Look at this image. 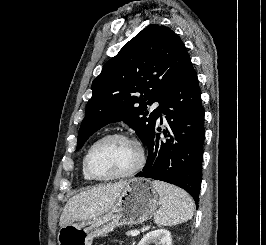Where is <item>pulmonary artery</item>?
<instances>
[{
  "instance_id": "pulmonary-artery-1",
  "label": "pulmonary artery",
  "mask_w": 266,
  "mask_h": 245,
  "mask_svg": "<svg viewBox=\"0 0 266 245\" xmlns=\"http://www.w3.org/2000/svg\"><path fill=\"white\" fill-rule=\"evenodd\" d=\"M158 106H159V104H158L157 102H155V103H153L151 109H155V108H157Z\"/></svg>"
}]
</instances>
